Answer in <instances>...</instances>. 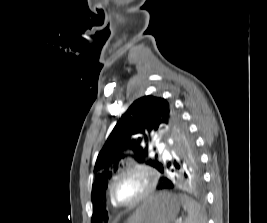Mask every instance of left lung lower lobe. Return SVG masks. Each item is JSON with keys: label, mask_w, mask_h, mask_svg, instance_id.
I'll use <instances>...</instances> for the list:
<instances>
[{"label": "left lung lower lobe", "mask_w": 267, "mask_h": 223, "mask_svg": "<svg viewBox=\"0 0 267 223\" xmlns=\"http://www.w3.org/2000/svg\"><path fill=\"white\" fill-rule=\"evenodd\" d=\"M203 171H169L158 173L162 182L157 186L161 192H176L179 189H198Z\"/></svg>", "instance_id": "0a47b994"}]
</instances>
